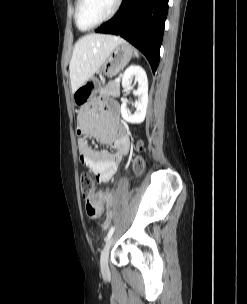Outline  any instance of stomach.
Instances as JSON below:
<instances>
[{"mask_svg":"<svg viewBox=\"0 0 247 304\" xmlns=\"http://www.w3.org/2000/svg\"><path fill=\"white\" fill-rule=\"evenodd\" d=\"M134 52V48L128 43L119 44L102 64L100 72L109 77L117 75L129 63ZM96 93L97 83L92 85L90 82H85L73 93V99L76 105L82 107L86 105Z\"/></svg>","mask_w":247,"mask_h":304,"instance_id":"obj_1","label":"stomach"}]
</instances>
